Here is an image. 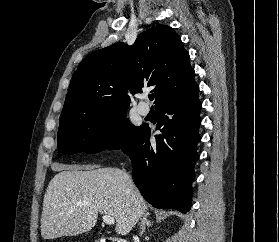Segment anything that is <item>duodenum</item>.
Segmentation results:
<instances>
[{"label":"duodenum","instance_id":"duodenum-1","mask_svg":"<svg viewBox=\"0 0 279 242\" xmlns=\"http://www.w3.org/2000/svg\"><path fill=\"white\" fill-rule=\"evenodd\" d=\"M100 242H126V241L120 238H106V239H101Z\"/></svg>","mask_w":279,"mask_h":242}]
</instances>
